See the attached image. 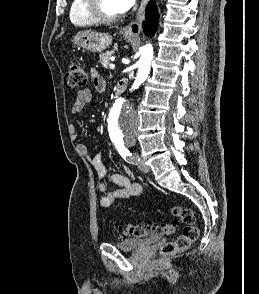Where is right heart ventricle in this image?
Returning a JSON list of instances; mask_svg holds the SVG:
<instances>
[{"instance_id": "1", "label": "right heart ventricle", "mask_w": 259, "mask_h": 294, "mask_svg": "<svg viewBox=\"0 0 259 294\" xmlns=\"http://www.w3.org/2000/svg\"><path fill=\"white\" fill-rule=\"evenodd\" d=\"M86 4V0H72L69 11V18L74 26L87 27L97 23L87 13Z\"/></svg>"}]
</instances>
